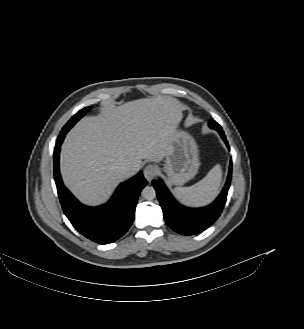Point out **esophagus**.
Wrapping results in <instances>:
<instances>
[{
    "label": "esophagus",
    "mask_w": 304,
    "mask_h": 329,
    "mask_svg": "<svg viewBox=\"0 0 304 329\" xmlns=\"http://www.w3.org/2000/svg\"><path fill=\"white\" fill-rule=\"evenodd\" d=\"M143 174L146 180L148 182H151L152 179H154V177L156 176L157 170L153 165H147L143 170Z\"/></svg>",
    "instance_id": "esophagus-1"
}]
</instances>
